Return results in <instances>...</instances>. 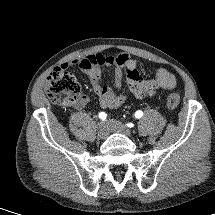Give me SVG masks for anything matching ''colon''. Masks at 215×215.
Wrapping results in <instances>:
<instances>
[{
    "mask_svg": "<svg viewBox=\"0 0 215 215\" xmlns=\"http://www.w3.org/2000/svg\"><path fill=\"white\" fill-rule=\"evenodd\" d=\"M62 94L73 96L74 91L70 81L64 75V68L58 64L46 74L42 84L33 89L31 103L38 108L51 109L52 106L60 103ZM193 96V88L186 87L184 95L177 99L173 108L181 112L185 111L192 103Z\"/></svg>",
    "mask_w": 215,
    "mask_h": 215,
    "instance_id": "colon-1",
    "label": "colon"
}]
</instances>
